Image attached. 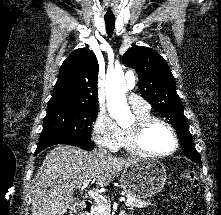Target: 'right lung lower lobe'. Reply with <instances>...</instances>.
I'll use <instances>...</instances> for the list:
<instances>
[{
	"mask_svg": "<svg viewBox=\"0 0 221 215\" xmlns=\"http://www.w3.org/2000/svg\"><path fill=\"white\" fill-rule=\"evenodd\" d=\"M56 144L75 145V146L81 147L85 150H92L94 148L90 136H87V137H79V138H73V139H62V140H56V141H52V142L39 143L34 155H37L43 149H45L49 146H52V145H56Z\"/></svg>",
	"mask_w": 221,
	"mask_h": 215,
	"instance_id": "1",
	"label": "right lung lower lobe"
}]
</instances>
